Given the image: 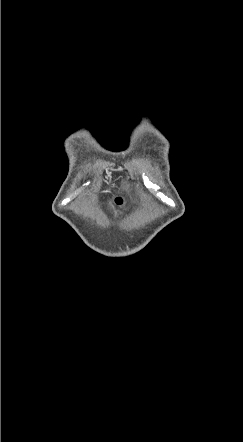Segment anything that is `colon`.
<instances>
[{
    "label": "colon",
    "mask_w": 243,
    "mask_h": 442,
    "mask_svg": "<svg viewBox=\"0 0 243 442\" xmlns=\"http://www.w3.org/2000/svg\"><path fill=\"white\" fill-rule=\"evenodd\" d=\"M114 202L116 205L121 206L123 204V199L121 197H117Z\"/></svg>",
    "instance_id": "colon-1"
}]
</instances>
